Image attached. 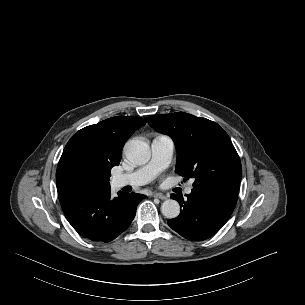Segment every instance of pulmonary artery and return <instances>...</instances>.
Listing matches in <instances>:
<instances>
[{"label": "pulmonary artery", "instance_id": "1", "mask_svg": "<svg viewBox=\"0 0 305 305\" xmlns=\"http://www.w3.org/2000/svg\"><path fill=\"white\" fill-rule=\"evenodd\" d=\"M174 142L167 135H157L152 141V158L144 166L128 173H120L113 177L112 183L116 188L123 186H141L149 183L155 176L166 168L173 156ZM192 185L185 192L190 194Z\"/></svg>", "mask_w": 305, "mask_h": 305}]
</instances>
